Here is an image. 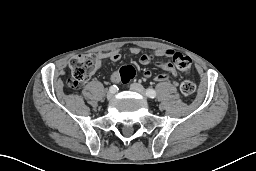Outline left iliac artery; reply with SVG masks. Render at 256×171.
<instances>
[{"label": "left iliac artery", "mask_w": 256, "mask_h": 171, "mask_svg": "<svg viewBox=\"0 0 256 171\" xmlns=\"http://www.w3.org/2000/svg\"><path fill=\"white\" fill-rule=\"evenodd\" d=\"M146 95L149 97V98H155L156 97V91L154 89H151V88H148L146 90Z\"/></svg>", "instance_id": "44dca946"}]
</instances>
